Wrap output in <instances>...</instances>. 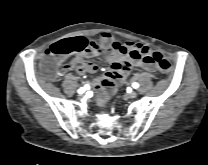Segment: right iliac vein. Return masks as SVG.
Masks as SVG:
<instances>
[{"label": "right iliac vein", "instance_id": "63e3f726", "mask_svg": "<svg viewBox=\"0 0 208 165\" xmlns=\"http://www.w3.org/2000/svg\"><path fill=\"white\" fill-rule=\"evenodd\" d=\"M80 96H81V97H83V96H84V94H83V93H81V94H80Z\"/></svg>", "mask_w": 208, "mask_h": 165}]
</instances>
